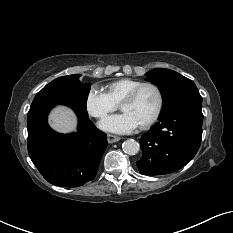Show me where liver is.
Returning <instances> with one entry per match:
<instances>
[{"label":"liver","mask_w":233,"mask_h":233,"mask_svg":"<svg viewBox=\"0 0 233 233\" xmlns=\"http://www.w3.org/2000/svg\"><path fill=\"white\" fill-rule=\"evenodd\" d=\"M48 121L51 128L59 133H70L76 130V115L64 105L55 107L49 114Z\"/></svg>","instance_id":"6515ba94"}]
</instances>
